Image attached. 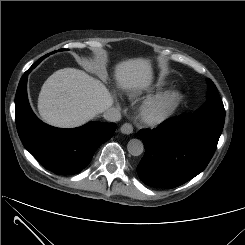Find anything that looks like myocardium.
Segmentation results:
<instances>
[{
    "label": "myocardium",
    "instance_id": "f54148a6",
    "mask_svg": "<svg viewBox=\"0 0 245 245\" xmlns=\"http://www.w3.org/2000/svg\"><path fill=\"white\" fill-rule=\"evenodd\" d=\"M181 96L172 91L162 96L149 99L140 109V117L149 125H156L168 119L177 109Z\"/></svg>",
    "mask_w": 245,
    "mask_h": 245
}]
</instances>
